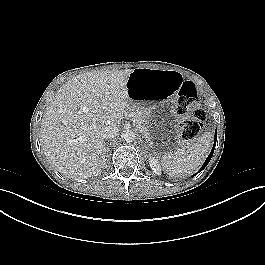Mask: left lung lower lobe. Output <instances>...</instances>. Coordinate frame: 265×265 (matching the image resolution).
<instances>
[{
    "label": "left lung lower lobe",
    "mask_w": 265,
    "mask_h": 265,
    "mask_svg": "<svg viewBox=\"0 0 265 265\" xmlns=\"http://www.w3.org/2000/svg\"><path fill=\"white\" fill-rule=\"evenodd\" d=\"M216 139H217V132H215L214 146H213V148H212V150H211L209 156L207 157L205 163L203 164L202 168L199 170V172H200L201 170H203V169L208 165L209 161L211 160V157L213 156L214 148H215V145H216ZM199 172H197V173H199ZM197 173H196V174H197ZM196 174H195V175H196Z\"/></svg>",
    "instance_id": "1"
}]
</instances>
